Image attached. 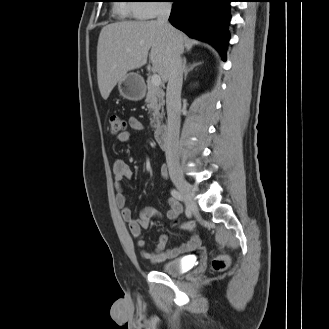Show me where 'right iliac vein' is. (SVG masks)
Returning a JSON list of instances; mask_svg holds the SVG:
<instances>
[{"label": "right iliac vein", "instance_id": "right-iliac-vein-1", "mask_svg": "<svg viewBox=\"0 0 329 329\" xmlns=\"http://www.w3.org/2000/svg\"><path fill=\"white\" fill-rule=\"evenodd\" d=\"M172 180L175 186L177 187V189L182 194L183 198L185 199L188 208L191 211L196 210L197 208L196 201L194 199V195L189 183L183 177H179V176L174 177Z\"/></svg>", "mask_w": 329, "mask_h": 329}]
</instances>
